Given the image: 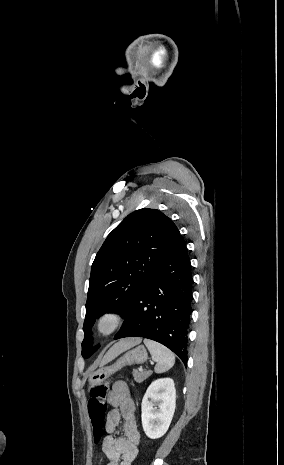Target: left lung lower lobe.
<instances>
[{
	"label": "left lung lower lobe",
	"mask_w": 284,
	"mask_h": 465,
	"mask_svg": "<svg viewBox=\"0 0 284 465\" xmlns=\"http://www.w3.org/2000/svg\"><path fill=\"white\" fill-rule=\"evenodd\" d=\"M192 285L188 249L180 235L136 294L114 339L143 337L157 341L186 364Z\"/></svg>",
	"instance_id": "0a47b994"
}]
</instances>
